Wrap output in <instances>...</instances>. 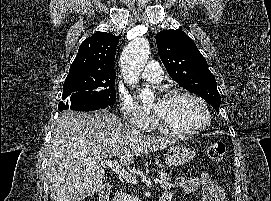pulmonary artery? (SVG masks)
<instances>
[{
	"mask_svg": "<svg viewBox=\"0 0 271 201\" xmlns=\"http://www.w3.org/2000/svg\"><path fill=\"white\" fill-rule=\"evenodd\" d=\"M141 76L149 82L158 83L162 80L163 71L158 62L150 60L147 62L145 69L141 73Z\"/></svg>",
	"mask_w": 271,
	"mask_h": 201,
	"instance_id": "pulmonary-artery-1",
	"label": "pulmonary artery"
}]
</instances>
